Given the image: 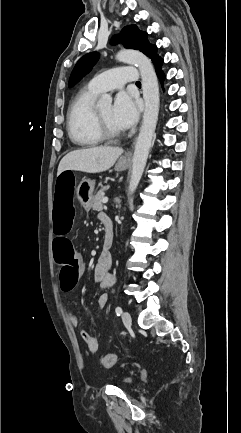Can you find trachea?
<instances>
[{"label":"trachea","instance_id":"obj_1","mask_svg":"<svg viewBox=\"0 0 241 433\" xmlns=\"http://www.w3.org/2000/svg\"><path fill=\"white\" fill-rule=\"evenodd\" d=\"M136 85H141V83L139 81L136 82Z\"/></svg>","mask_w":241,"mask_h":433}]
</instances>
